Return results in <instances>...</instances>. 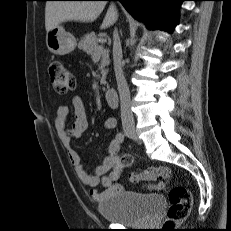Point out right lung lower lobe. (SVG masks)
<instances>
[{"mask_svg":"<svg viewBox=\"0 0 231 231\" xmlns=\"http://www.w3.org/2000/svg\"><path fill=\"white\" fill-rule=\"evenodd\" d=\"M120 1L136 19L149 29L160 28L171 32L177 23V6L184 0H105Z\"/></svg>","mask_w":231,"mask_h":231,"instance_id":"1","label":"right lung lower lobe"}]
</instances>
